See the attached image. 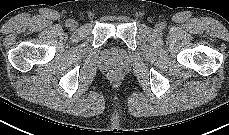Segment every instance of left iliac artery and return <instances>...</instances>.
<instances>
[{
	"instance_id": "1",
	"label": "left iliac artery",
	"mask_w": 229,
	"mask_h": 135,
	"mask_svg": "<svg viewBox=\"0 0 229 135\" xmlns=\"http://www.w3.org/2000/svg\"><path fill=\"white\" fill-rule=\"evenodd\" d=\"M162 29L166 27L165 23H161Z\"/></svg>"
}]
</instances>
